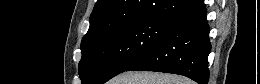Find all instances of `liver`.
I'll return each instance as SVG.
<instances>
[{"mask_svg":"<svg viewBox=\"0 0 260 84\" xmlns=\"http://www.w3.org/2000/svg\"><path fill=\"white\" fill-rule=\"evenodd\" d=\"M114 84H190V80L172 74L146 71L125 72L113 81Z\"/></svg>","mask_w":260,"mask_h":84,"instance_id":"6515ba94","label":"liver"}]
</instances>
